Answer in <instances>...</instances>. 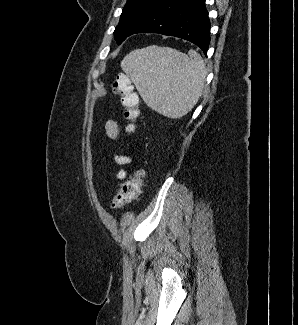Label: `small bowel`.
<instances>
[{
  "instance_id": "1",
  "label": "small bowel",
  "mask_w": 298,
  "mask_h": 325,
  "mask_svg": "<svg viewBox=\"0 0 298 325\" xmlns=\"http://www.w3.org/2000/svg\"><path fill=\"white\" fill-rule=\"evenodd\" d=\"M106 132L108 134V136L112 139H117L119 136V127L118 124L115 120L113 119H109L106 122ZM115 162L118 165H125L128 164L130 162V158L127 156H116L115 157ZM126 177V172L125 170H120L117 173V178L118 179H124Z\"/></svg>"
}]
</instances>
